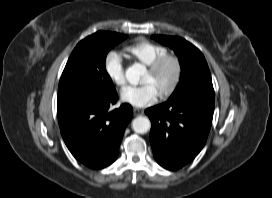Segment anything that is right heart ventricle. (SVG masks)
<instances>
[{
    "mask_svg": "<svg viewBox=\"0 0 272 198\" xmlns=\"http://www.w3.org/2000/svg\"><path fill=\"white\" fill-rule=\"evenodd\" d=\"M124 51L130 57L144 65H149L158 57L168 53V50L164 46L146 39H139L136 42L126 45Z\"/></svg>",
    "mask_w": 272,
    "mask_h": 198,
    "instance_id": "right-heart-ventricle-1",
    "label": "right heart ventricle"
}]
</instances>
